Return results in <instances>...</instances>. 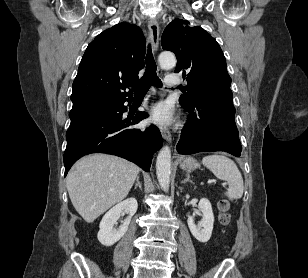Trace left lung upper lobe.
<instances>
[{"instance_id":"left-lung-upper-lobe-1","label":"left lung upper lobe","mask_w":308,"mask_h":278,"mask_svg":"<svg viewBox=\"0 0 308 278\" xmlns=\"http://www.w3.org/2000/svg\"><path fill=\"white\" fill-rule=\"evenodd\" d=\"M162 48L176 54L175 72L183 71L188 87L179 102L191 106L202 96L230 88L226 59L216 40L199 26L190 27L189 21L175 19L167 25L161 38Z\"/></svg>"}]
</instances>
